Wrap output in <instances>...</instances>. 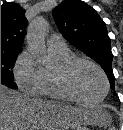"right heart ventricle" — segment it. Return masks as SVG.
Segmentation results:
<instances>
[{
  "instance_id": "right-heart-ventricle-1",
  "label": "right heart ventricle",
  "mask_w": 123,
  "mask_h": 130,
  "mask_svg": "<svg viewBox=\"0 0 123 130\" xmlns=\"http://www.w3.org/2000/svg\"><path fill=\"white\" fill-rule=\"evenodd\" d=\"M51 51L56 55L59 61L65 60L72 55L68 48L66 49H54L50 48ZM40 96H47L49 98L55 100H62L67 101L69 100L59 89L55 76H54V69L50 68H43V85H42V92Z\"/></svg>"
}]
</instances>
